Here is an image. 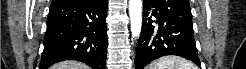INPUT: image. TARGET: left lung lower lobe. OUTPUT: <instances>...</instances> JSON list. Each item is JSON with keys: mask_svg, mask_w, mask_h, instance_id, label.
<instances>
[{"mask_svg": "<svg viewBox=\"0 0 246 69\" xmlns=\"http://www.w3.org/2000/svg\"><path fill=\"white\" fill-rule=\"evenodd\" d=\"M154 22L158 25H152ZM193 33L192 23L162 12L153 0H143L142 34L136 49V69H144L151 61L166 55L181 56L200 66Z\"/></svg>", "mask_w": 246, "mask_h": 69, "instance_id": "obj_1", "label": "left lung lower lobe"}]
</instances>
